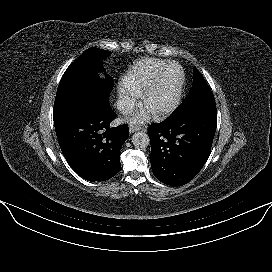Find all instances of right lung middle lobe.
<instances>
[{
  "instance_id": "dd1d6c3e",
  "label": "right lung middle lobe",
  "mask_w": 272,
  "mask_h": 272,
  "mask_svg": "<svg viewBox=\"0 0 272 272\" xmlns=\"http://www.w3.org/2000/svg\"><path fill=\"white\" fill-rule=\"evenodd\" d=\"M110 53L95 47L89 48L66 69L56 93L54 122L60 121L74 104L82 100L93 98L108 103L113 79L106 73V78L102 79L98 73L105 72L101 59Z\"/></svg>"
}]
</instances>
